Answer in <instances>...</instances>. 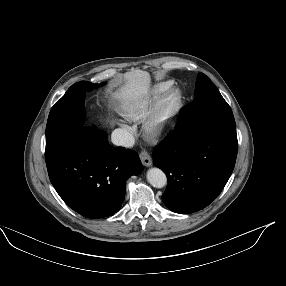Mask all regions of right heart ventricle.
Instances as JSON below:
<instances>
[{
	"label": "right heart ventricle",
	"mask_w": 286,
	"mask_h": 286,
	"mask_svg": "<svg viewBox=\"0 0 286 286\" xmlns=\"http://www.w3.org/2000/svg\"><path fill=\"white\" fill-rule=\"evenodd\" d=\"M171 87V81H162L148 89L130 94L122 104V113L132 119L143 117Z\"/></svg>",
	"instance_id": "1"
}]
</instances>
